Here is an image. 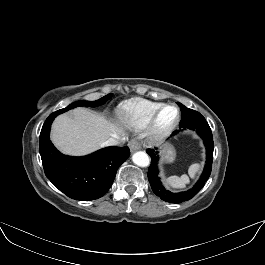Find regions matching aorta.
I'll list each match as a JSON object with an SVG mask.
<instances>
[{"label":"aorta","instance_id":"obj_1","mask_svg":"<svg viewBox=\"0 0 265 265\" xmlns=\"http://www.w3.org/2000/svg\"><path fill=\"white\" fill-rule=\"evenodd\" d=\"M132 161L140 167H147L150 164V158L145 152L139 151L133 154Z\"/></svg>","mask_w":265,"mask_h":265}]
</instances>
